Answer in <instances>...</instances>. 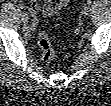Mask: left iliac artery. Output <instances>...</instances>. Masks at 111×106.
Masks as SVG:
<instances>
[{"label": "left iliac artery", "mask_w": 111, "mask_h": 106, "mask_svg": "<svg viewBox=\"0 0 111 106\" xmlns=\"http://www.w3.org/2000/svg\"><path fill=\"white\" fill-rule=\"evenodd\" d=\"M87 3L90 5V4L92 3V1H91V0H88Z\"/></svg>", "instance_id": "obj_1"}]
</instances>
